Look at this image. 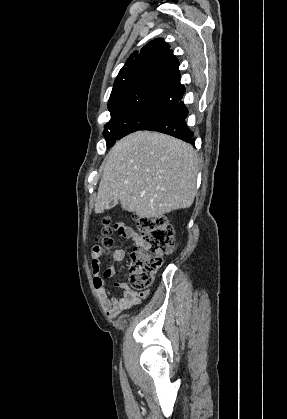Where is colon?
Instances as JSON below:
<instances>
[{
	"instance_id": "colon-1",
	"label": "colon",
	"mask_w": 287,
	"mask_h": 419,
	"mask_svg": "<svg viewBox=\"0 0 287 419\" xmlns=\"http://www.w3.org/2000/svg\"><path fill=\"white\" fill-rule=\"evenodd\" d=\"M139 240L130 254L131 285L137 291L145 290L153 274L161 267L163 256L173 251L175 237L172 225L165 217L137 218ZM112 228L106 221L96 239L103 249L112 245Z\"/></svg>"
}]
</instances>
